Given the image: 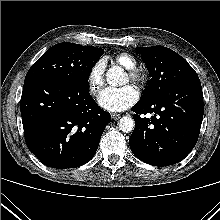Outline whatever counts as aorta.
Instances as JSON below:
<instances>
[{
    "label": "aorta",
    "mask_w": 220,
    "mask_h": 220,
    "mask_svg": "<svg viewBox=\"0 0 220 220\" xmlns=\"http://www.w3.org/2000/svg\"><path fill=\"white\" fill-rule=\"evenodd\" d=\"M107 83L111 86H118L124 83V72L119 66H113L106 73ZM135 123L131 117L124 116L118 122L119 129L124 133H129L134 129Z\"/></svg>",
    "instance_id": "762f6f07"
}]
</instances>
